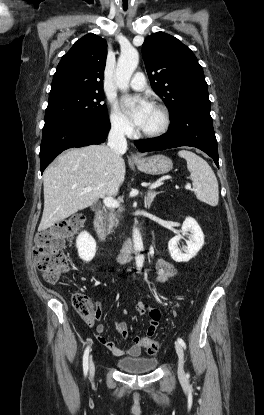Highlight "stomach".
<instances>
[{
  "label": "stomach",
  "mask_w": 264,
  "mask_h": 415,
  "mask_svg": "<svg viewBox=\"0 0 264 415\" xmlns=\"http://www.w3.org/2000/svg\"><path fill=\"white\" fill-rule=\"evenodd\" d=\"M134 163L140 171L151 175L165 174L173 167L171 159L160 154L142 158Z\"/></svg>",
  "instance_id": "1"
}]
</instances>
